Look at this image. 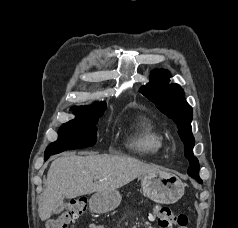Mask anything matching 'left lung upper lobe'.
Segmentation results:
<instances>
[{
	"instance_id": "1",
	"label": "left lung upper lobe",
	"mask_w": 238,
	"mask_h": 228,
	"mask_svg": "<svg viewBox=\"0 0 238 228\" xmlns=\"http://www.w3.org/2000/svg\"><path fill=\"white\" fill-rule=\"evenodd\" d=\"M150 77V82L142 86L140 92L177 124L178 134L185 145V157L190 162L188 175L200 178L199 162L192 152L195 143L191 129L192 107L187 103L184 91L178 84H167V71L156 69L151 72Z\"/></svg>"
}]
</instances>
